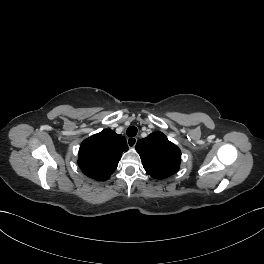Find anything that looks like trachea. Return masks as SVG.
Listing matches in <instances>:
<instances>
[{
	"label": "trachea",
	"instance_id": "trachea-1",
	"mask_svg": "<svg viewBox=\"0 0 264 264\" xmlns=\"http://www.w3.org/2000/svg\"><path fill=\"white\" fill-rule=\"evenodd\" d=\"M137 128L135 127V126H130L128 129H127V131H126V133H127V136L128 137H134V136H136V134H137Z\"/></svg>",
	"mask_w": 264,
	"mask_h": 264
}]
</instances>
